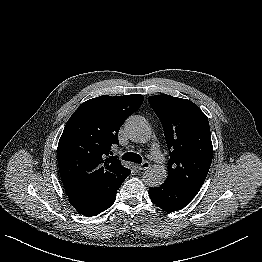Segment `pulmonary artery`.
Returning <instances> with one entry per match:
<instances>
[{
	"mask_svg": "<svg viewBox=\"0 0 262 262\" xmlns=\"http://www.w3.org/2000/svg\"><path fill=\"white\" fill-rule=\"evenodd\" d=\"M158 153H159V151H158V146H157V144H155V145L153 146V149H152V154H153V156L155 157V156L158 155Z\"/></svg>",
	"mask_w": 262,
	"mask_h": 262,
	"instance_id": "e3ab8cb5",
	"label": "pulmonary artery"
}]
</instances>
